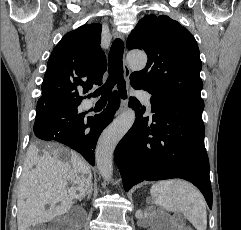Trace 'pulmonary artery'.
<instances>
[{
  "label": "pulmonary artery",
  "mask_w": 241,
  "mask_h": 230,
  "mask_svg": "<svg viewBox=\"0 0 241 230\" xmlns=\"http://www.w3.org/2000/svg\"><path fill=\"white\" fill-rule=\"evenodd\" d=\"M138 96L146 103V105L148 106V109L151 110V102H150V95L143 92V91H140L138 92ZM93 104L91 101H86L85 102V107L86 108H89L91 107Z\"/></svg>",
  "instance_id": "e3ab8cb5"
}]
</instances>
